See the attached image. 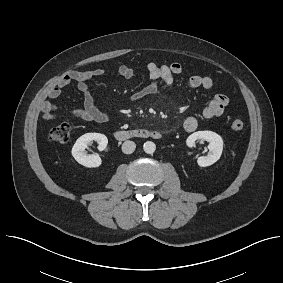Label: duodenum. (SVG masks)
<instances>
[{
	"label": "duodenum",
	"mask_w": 283,
	"mask_h": 283,
	"mask_svg": "<svg viewBox=\"0 0 283 283\" xmlns=\"http://www.w3.org/2000/svg\"><path fill=\"white\" fill-rule=\"evenodd\" d=\"M114 138L117 140H127L131 138H148L160 139L163 137V133L158 130L147 129H126L117 130L113 133Z\"/></svg>",
	"instance_id": "410a0bca"
}]
</instances>
